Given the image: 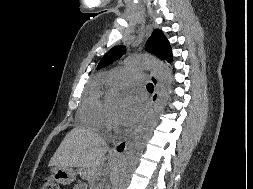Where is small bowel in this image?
<instances>
[{
  "label": "small bowel",
  "instance_id": "small-bowel-1",
  "mask_svg": "<svg viewBox=\"0 0 253 189\" xmlns=\"http://www.w3.org/2000/svg\"><path fill=\"white\" fill-rule=\"evenodd\" d=\"M73 189H85V186L82 184H78Z\"/></svg>",
  "mask_w": 253,
  "mask_h": 189
}]
</instances>
